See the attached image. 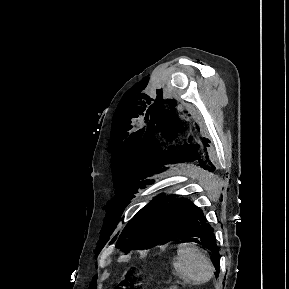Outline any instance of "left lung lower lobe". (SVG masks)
<instances>
[{"mask_svg": "<svg viewBox=\"0 0 289 289\" xmlns=\"http://www.w3.org/2000/svg\"><path fill=\"white\" fill-rule=\"evenodd\" d=\"M163 212L168 218L167 241L184 238L208 248L217 260L215 269L219 272V251L215 236L212 227L206 223L202 210L187 199L181 198L170 201Z\"/></svg>", "mask_w": 289, "mask_h": 289, "instance_id": "1", "label": "left lung lower lobe"}]
</instances>
